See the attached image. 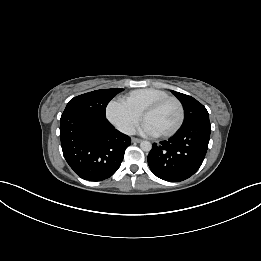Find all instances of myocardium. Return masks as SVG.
<instances>
[{
	"mask_svg": "<svg viewBox=\"0 0 261 261\" xmlns=\"http://www.w3.org/2000/svg\"><path fill=\"white\" fill-rule=\"evenodd\" d=\"M167 102H174L179 109V119L178 122L176 123V125L170 129L167 132H163L158 134V136L160 137H170L172 135H174L183 125L184 122V118H185V111H184V106L182 104V102L173 96H167L165 98L159 99L154 101L153 103L149 104L142 112V119L144 120V118L146 117V115H148L149 113L155 111L156 109H158L159 107H161L162 105H164Z\"/></svg>",
	"mask_w": 261,
	"mask_h": 261,
	"instance_id": "f54148a6",
	"label": "myocardium"
}]
</instances>
